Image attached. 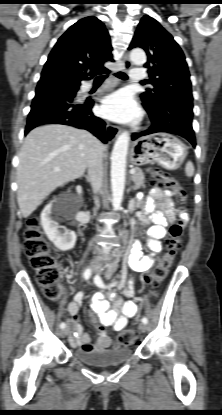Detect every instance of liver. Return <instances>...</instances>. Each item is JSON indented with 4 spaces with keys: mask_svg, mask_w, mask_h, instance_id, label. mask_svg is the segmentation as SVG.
<instances>
[{
    "mask_svg": "<svg viewBox=\"0 0 222 415\" xmlns=\"http://www.w3.org/2000/svg\"><path fill=\"white\" fill-rule=\"evenodd\" d=\"M96 142L88 131L61 124L37 127L26 136L17 168V202L24 218L57 187L83 176Z\"/></svg>",
    "mask_w": 222,
    "mask_h": 415,
    "instance_id": "6515ba94",
    "label": "liver"
}]
</instances>
